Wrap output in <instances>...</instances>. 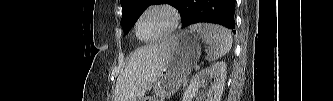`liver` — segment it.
I'll return each mask as SVG.
<instances>
[{
    "mask_svg": "<svg viewBox=\"0 0 333 101\" xmlns=\"http://www.w3.org/2000/svg\"><path fill=\"white\" fill-rule=\"evenodd\" d=\"M165 41L136 50L117 79L115 101H137L154 83L165 63Z\"/></svg>",
    "mask_w": 333,
    "mask_h": 101,
    "instance_id": "1",
    "label": "liver"
}]
</instances>
